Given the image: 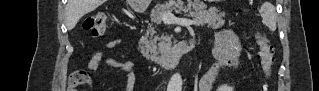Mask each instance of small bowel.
Segmentation results:
<instances>
[{
  "label": "small bowel",
  "mask_w": 319,
  "mask_h": 91,
  "mask_svg": "<svg viewBox=\"0 0 319 91\" xmlns=\"http://www.w3.org/2000/svg\"><path fill=\"white\" fill-rule=\"evenodd\" d=\"M122 46L123 42L119 39H111L105 43L107 49H117ZM241 49V40L232 29L224 28L217 30L215 32V46L213 49V55L217 59V64L201 78L197 90L211 91L224 70L238 66ZM87 67L93 71L103 70L104 68L125 70L128 73L125 90H132L135 75V68L132 62L116 60L107 56L104 52L96 50L88 61ZM87 81L88 77L84 72H76L72 78L73 84Z\"/></svg>",
  "instance_id": "obj_1"
}]
</instances>
